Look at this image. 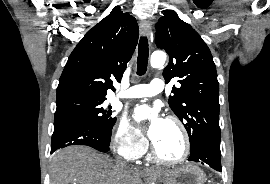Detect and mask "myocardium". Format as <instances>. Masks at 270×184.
<instances>
[{
    "label": "myocardium",
    "mask_w": 270,
    "mask_h": 184,
    "mask_svg": "<svg viewBox=\"0 0 270 184\" xmlns=\"http://www.w3.org/2000/svg\"><path fill=\"white\" fill-rule=\"evenodd\" d=\"M166 121L173 123L174 125L177 126V128L179 129L181 135H182V139H183V151L180 157L170 160V159H166L163 158L154 143H152L151 145V152H152V156L154 157V159L162 164H166V165H171V166H175V165H179L182 164L189 156L190 154V149H191V144H190V137H189V133L187 131V128L185 127L184 123L176 116H168L166 118Z\"/></svg>",
    "instance_id": "myocardium-1"
}]
</instances>
